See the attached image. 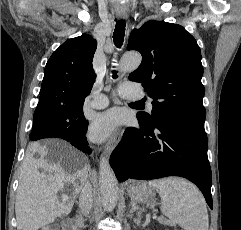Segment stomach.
Returning a JSON list of instances; mask_svg holds the SVG:
<instances>
[{
  "label": "stomach",
  "instance_id": "obj_1",
  "mask_svg": "<svg viewBox=\"0 0 241 230\" xmlns=\"http://www.w3.org/2000/svg\"><path fill=\"white\" fill-rule=\"evenodd\" d=\"M127 193L133 201L144 203L147 207L155 205V194L153 188L143 182H136L127 188Z\"/></svg>",
  "mask_w": 241,
  "mask_h": 230
}]
</instances>
